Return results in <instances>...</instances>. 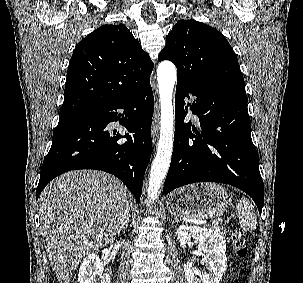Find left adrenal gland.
Wrapping results in <instances>:
<instances>
[{
  "label": "left adrenal gland",
  "mask_w": 303,
  "mask_h": 283,
  "mask_svg": "<svg viewBox=\"0 0 303 283\" xmlns=\"http://www.w3.org/2000/svg\"><path fill=\"white\" fill-rule=\"evenodd\" d=\"M179 219L177 217H175L174 221L172 223L178 222Z\"/></svg>",
  "instance_id": "left-adrenal-gland-1"
}]
</instances>
